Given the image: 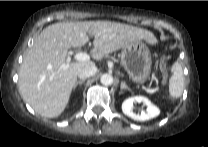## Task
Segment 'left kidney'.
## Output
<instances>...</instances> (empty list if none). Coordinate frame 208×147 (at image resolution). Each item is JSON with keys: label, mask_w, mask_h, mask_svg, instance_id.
<instances>
[{"label": "left kidney", "mask_w": 208, "mask_h": 147, "mask_svg": "<svg viewBox=\"0 0 208 147\" xmlns=\"http://www.w3.org/2000/svg\"><path fill=\"white\" fill-rule=\"evenodd\" d=\"M135 102L142 103L144 106H146V112L142 111L141 114H136L133 111V103ZM122 111L125 115L136 121H146L157 117L160 113L159 108L153 105L151 101L144 96H134L124 100V102L122 103Z\"/></svg>", "instance_id": "1"}]
</instances>
